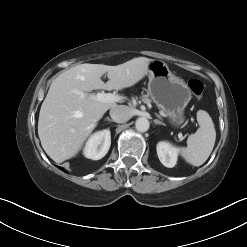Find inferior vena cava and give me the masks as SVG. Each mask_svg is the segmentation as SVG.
<instances>
[{
  "mask_svg": "<svg viewBox=\"0 0 247 247\" xmlns=\"http://www.w3.org/2000/svg\"><path fill=\"white\" fill-rule=\"evenodd\" d=\"M110 117L117 123H124L132 117V112L128 106L117 105L111 108Z\"/></svg>",
  "mask_w": 247,
  "mask_h": 247,
  "instance_id": "obj_1",
  "label": "inferior vena cava"
}]
</instances>
